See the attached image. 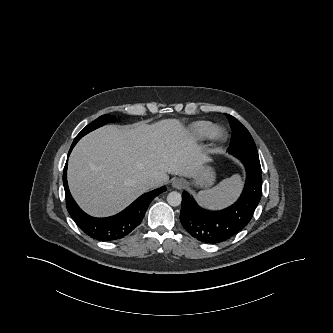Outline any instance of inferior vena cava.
Returning <instances> with one entry per match:
<instances>
[{"instance_id":"602c4592","label":"inferior vena cava","mask_w":333,"mask_h":333,"mask_svg":"<svg viewBox=\"0 0 333 333\" xmlns=\"http://www.w3.org/2000/svg\"><path fill=\"white\" fill-rule=\"evenodd\" d=\"M147 183H148L149 185L153 186V185L156 183V181H155L154 179H148V180H147Z\"/></svg>"}]
</instances>
